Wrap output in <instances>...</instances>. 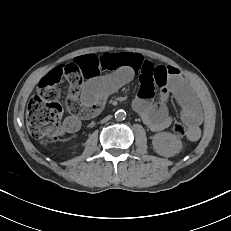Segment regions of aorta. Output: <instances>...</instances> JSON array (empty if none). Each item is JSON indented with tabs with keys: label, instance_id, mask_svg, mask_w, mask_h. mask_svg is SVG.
<instances>
[{
	"label": "aorta",
	"instance_id": "762f6f07",
	"mask_svg": "<svg viewBox=\"0 0 231 231\" xmlns=\"http://www.w3.org/2000/svg\"><path fill=\"white\" fill-rule=\"evenodd\" d=\"M126 117V112L124 110H118L115 112V119L116 120H123Z\"/></svg>",
	"mask_w": 231,
	"mask_h": 231
}]
</instances>
